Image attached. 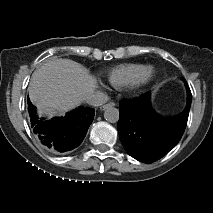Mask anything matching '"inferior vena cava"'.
<instances>
[{
    "mask_svg": "<svg viewBox=\"0 0 213 213\" xmlns=\"http://www.w3.org/2000/svg\"><path fill=\"white\" fill-rule=\"evenodd\" d=\"M109 97L106 93L102 91H95L90 96L86 98V103L98 107L105 104L108 101Z\"/></svg>",
    "mask_w": 213,
    "mask_h": 213,
    "instance_id": "obj_1",
    "label": "inferior vena cava"
}]
</instances>
